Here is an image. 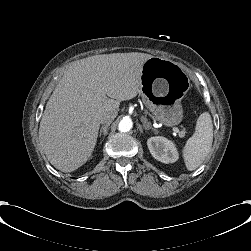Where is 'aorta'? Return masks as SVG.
<instances>
[{"label": "aorta", "instance_id": "aorta-1", "mask_svg": "<svg viewBox=\"0 0 251 251\" xmlns=\"http://www.w3.org/2000/svg\"><path fill=\"white\" fill-rule=\"evenodd\" d=\"M133 126L132 120L130 118H123L118 125V129L121 132H128Z\"/></svg>", "mask_w": 251, "mask_h": 251}]
</instances>
